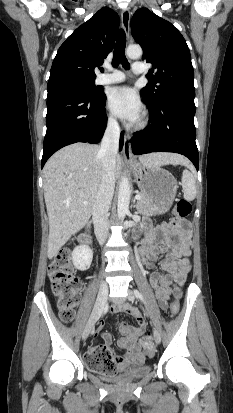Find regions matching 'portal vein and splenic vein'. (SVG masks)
<instances>
[{
	"label": "portal vein and splenic vein",
	"instance_id": "obj_1",
	"mask_svg": "<svg viewBox=\"0 0 233 413\" xmlns=\"http://www.w3.org/2000/svg\"><path fill=\"white\" fill-rule=\"evenodd\" d=\"M135 199H136V200H140V199H141L140 194H137V195L135 196ZM84 204H87V202H84Z\"/></svg>",
	"mask_w": 233,
	"mask_h": 413
}]
</instances>
